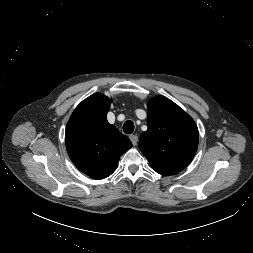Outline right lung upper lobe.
<instances>
[{"mask_svg": "<svg viewBox=\"0 0 253 253\" xmlns=\"http://www.w3.org/2000/svg\"><path fill=\"white\" fill-rule=\"evenodd\" d=\"M111 100L95 93L72 113L65 134L67 152L74 165L93 179H104L116 169L131 141L107 121Z\"/></svg>", "mask_w": 253, "mask_h": 253, "instance_id": "1", "label": "right lung upper lobe"}]
</instances>
